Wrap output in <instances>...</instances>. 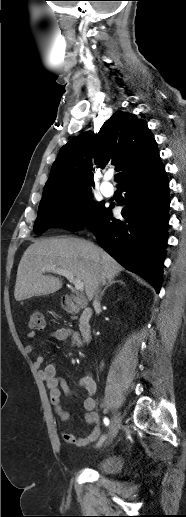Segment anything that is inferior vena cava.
I'll return each mask as SVG.
<instances>
[{
  "instance_id": "1",
  "label": "inferior vena cava",
  "mask_w": 186,
  "mask_h": 517,
  "mask_svg": "<svg viewBox=\"0 0 186 517\" xmlns=\"http://www.w3.org/2000/svg\"><path fill=\"white\" fill-rule=\"evenodd\" d=\"M104 283H105V280H104V279H100V280H99V282H98V283H97V285H96V289H95V290H96V291H95V302H97V301H98V299H99V296H98V293H99V291H100V289H99V288H100V286H101V285H103Z\"/></svg>"
}]
</instances>
